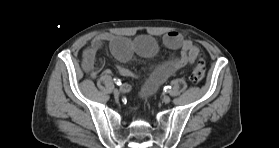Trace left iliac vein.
I'll return each mask as SVG.
<instances>
[{"mask_svg":"<svg viewBox=\"0 0 279 148\" xmlns=\"http://www.w3.org/2000/svg\"><path fill=\"white\" fill-rule=\"evenodd\" d=\"M170 101H171V98L169 96H164L163 97V102L164 103L168 104V103H170Z\"/></svg>","mask_w":279,"mask_h":148,"instance_id":"4c4485c4","label":"left iliac vein"}]
</instances>
